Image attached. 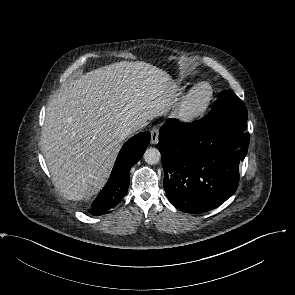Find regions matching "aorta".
Masks as SVG:
<instances>
[{
	"mask_svg": "<svg viewBox=\"0 0 295 295\" xmlns=\"http://www.w3.org/2000/svg\"><path fill=\"white\" fill-rule=\"evenodd\" d=\"M161 154L156 148H148L144 153V160L147 164L153 165L160 161Z\"/></svg>",
	"mask_w": 295,
	"mask_h": 295,
	"instance_id": "obj_1",
	"label": "aorta"
}]
</instances>
